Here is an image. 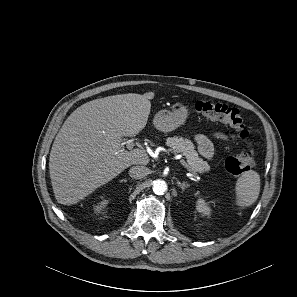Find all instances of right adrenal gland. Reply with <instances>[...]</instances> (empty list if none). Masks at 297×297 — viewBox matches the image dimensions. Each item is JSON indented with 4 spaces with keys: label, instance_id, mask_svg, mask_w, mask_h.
<instances>
[{
    "label": "right adrenal gland",
    "instance_id": "right-adrenal-gland-1",
    "mask_svg": "<svg viewBox=\"0 0 297 297\" xmlns=\"http://www.w3.org/2000/svg\"><path fill=\"white\" fill-rule=\"evenodd\" d=\"M120 182H125V183H126V182H127V180H126V179H122Z\"/></svg>",
    "mask_w": 297,
    "mask_h": 297
}]
</instances>
